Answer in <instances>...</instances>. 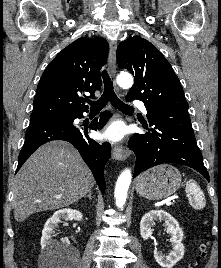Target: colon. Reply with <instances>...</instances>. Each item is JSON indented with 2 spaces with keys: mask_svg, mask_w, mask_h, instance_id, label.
Wrapping results in <instances>:
<instances>
[{
  "mask_svg": "<svg viewBox=\"0 0 221 268\" xmlns=\"http://www.w3.org/2000/svg\"><path fill=\"white\" fill-rule=\"evenodd\" d=\"M208 247H209V239L208 237H206L203 242L200 244L199 246V255H198V259L191 265L190 268H198L201 261L205 258V256L207 255V251H208Z\"/></svg>",
  "mask_w": 221,
  "mask_h": 268,
  "instance_id": "1",
  "label": "colon"
}]
</instances>
